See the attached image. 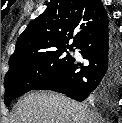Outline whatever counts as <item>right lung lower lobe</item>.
I'll return each mask as SVG.
<instances>
[{"mask_svg":"<svg viewBox=\"0 0 122 123\" xmlns=\"http://www.w3.org/2000/svg\"><path fill=\"white\" fill-rule=\"evenodd\" d=\"M78 48L87 66L73 61L65 70L34 90H52L77 101L88 97L114 100L122 77V44L111 24L92 33Z\"/></svg>","mask_w":122,"mask_h":123,"instance_id":"98d812e1","label":"right lung lower lobe"}]
</instances>
